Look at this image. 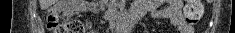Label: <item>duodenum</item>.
<instances>
[{
    "label": "duodenum",
    "instance_id": "410a0bca",
    "mask_svg": "<svg viewBox=\"0 0 235 33\" xmlns=\"http://www.w3.org/2000/svg\"><path fill=\"white\" fill-rule=\"evenodd\" d=\"M86 4H90L89 2H86ZM138 19L137 16L135 15H131V14H128V15H125L123 16L119 21L118 23H116V29H117V32L121 33L125 30H130L132 29V27L134 26L136 20Z\"/></svg>",
    "mask_w": 235,
    "mask_h": 33
}]
</instances>
